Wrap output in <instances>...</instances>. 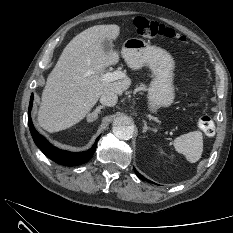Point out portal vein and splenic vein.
I'll use <instances>...</instances> for the list:
<instances>
[{"label":"portal vein and splenic vein","instance_id":"portal-vein-and-splenic-vein-1","mask_svg":"<svg viewBox=\"0 0 233 233\" xmlns=\"http://www.w3.org/2000/svg\"><path fill=\"white\" fill-rule=\"evenodd\" d=\"M87 74L89 75L90 72H88ZM124 77H125V74L121 71L108 72L101 76V81L113 82L119 79H123Z\"/></svg>","mask_w":233,"mask_h":233}]
</instances>
